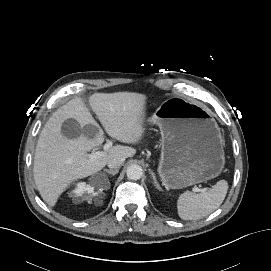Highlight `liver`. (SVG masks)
Listing matches in <instances>:
<instances>
[{"instance_id": "1", "label": "liver", "mask_w": 271, "mask_h": 271, "mask_svg": "<svg viewBox=\"0 0 271 271\" xmlns=\"http://www.w3.org/2000/svg\"><path fill=\"white\" fill-rule=\"evenodd\" d=\"M145 101L144 95L129 92L95 93L89 98L91 109L109 136L128 144H137L141 140ZM67 119L76 120L81 128L96 125L84 101L75 98L54 112L42 129L33 172L37 189L50 207L55 206L73 181L97 173L112 158H128L136 153L132 147L117 145L91 161L87 152L103 143V133H97L94 138L81 134L76 139H68L61 132Z\"/></svg>"}]
</instances>
